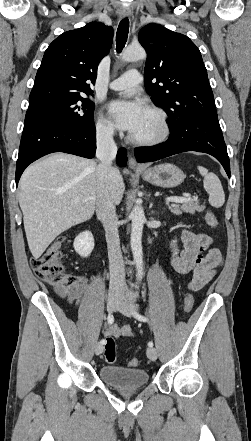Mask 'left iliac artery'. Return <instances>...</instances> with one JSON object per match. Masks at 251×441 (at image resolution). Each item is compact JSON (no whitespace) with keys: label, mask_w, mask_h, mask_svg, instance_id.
Wrapping results in <instances>:
<instances>
[{"label":"left iliac artery","mask_w":251,"mask_h":441,"mask_svg":"<svg viewBox=\"0 0 251 441\" xmlns=\"http://www.w3.org/2000/svg\"><path fill=\"white\" fill-rule=\"evenodd\" d=\"M133 315H134V317L136 318V319H138L139 321H142V322H147L148 321V318L147 317H145V316H143V315H141V314H139V313H137V312H133ZM148 346L149 347H153V342L152 341H150L149 343H148Z\"/></svg>","instance_id":"left-iliac-artery-1"}]
</instances>
